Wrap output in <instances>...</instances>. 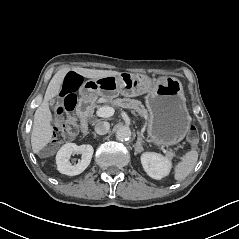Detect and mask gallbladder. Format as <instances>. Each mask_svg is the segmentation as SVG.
I'll return each instance as SVG.
<instances>
[{
  "instance_id": "bac80fb5",
  "label": "gallbladder",
  "mask_w": 239,
  "mask_h": 239,
  "mask_svg": "<svg viewBox=\"0 0 239 239\" xmlns=\"http://www.w3.org/2000/svg\"><path fill=\"white\" fill-rule=\"evenodd\" d=\"M54 104H55V100H54V99L49 100V105H50V106H52V105H54ZM44 151H45V149H43V150L41 151V153L44 152Z\"/></svg>"
}]
</instances>
